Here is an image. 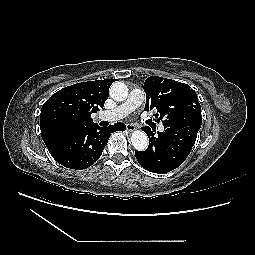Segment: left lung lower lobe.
Segmentation results:
<instances>
[{"instance_id": "0a47b994", "label": "left lung lower lobe", "mask_w": 255, "mask_h": 255, "mask_svg": "<svg viewBox=\"0 0 255 255\" xmlns=\"http://www.w3.org/2000/svg\"><path fill=\"white\" fill-rule=\"evenodd\" d=\"M202 121L164 125L158 137L149 127H143L149 137L146 151H135L139 164L153 173H166L180 166L189 155Z\"/></svg>"}]
</instances>
